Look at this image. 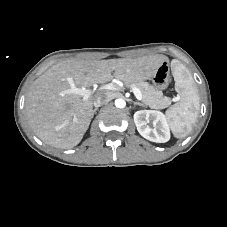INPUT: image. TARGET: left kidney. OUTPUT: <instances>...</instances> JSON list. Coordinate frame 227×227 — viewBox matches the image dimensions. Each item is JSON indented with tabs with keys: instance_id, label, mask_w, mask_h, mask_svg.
Wrapping results in <instances>:
<instances>
[{
	"instance_id": "5707ae66",
	"label": "left kidney",
	"mask_w": 227,
	"mask_h": 227,
	"mask_svg": "<svg viewBox=\"0 0 227 227\" xmlns=\"http://www.w3.org/2000/svg\"><path fill=\"white\" fill-rule=\"evenodd\" d=\"M150 121H152L153 128L148 125ZM134 123L139 134L149 141L165 143L170 139V130L166 116L160 111H136L134 113Z\"/></svg>"
}]
</instances>
